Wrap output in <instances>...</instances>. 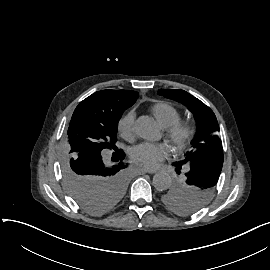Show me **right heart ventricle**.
<instances>
[{
	"label": "right heart ventricle",
	"instance_id": "obj_1",
	"mask_svg": "<svg viewBox=\"0 0 270 270\" xmlns=\"http://www.w3.org/2000/svg\"><path fill=\"white\" fill-rule=\"evenodd\" d=\"M151 112L160 127H175L182 119V113L170 103L159 101L151 107Z\"/></svg>",
	"mask_w": 270,
	"mask_h": 270
}]
</instances>
